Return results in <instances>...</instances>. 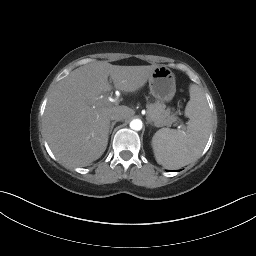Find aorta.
<instances>
[{"mask_svg": "<svg viewBox=\"0 0 256 256\" xmlns=\"http://www.w3.org/2000/svg\"><path fill=\"white\" fill-rule=\"evenodd\" d=\"M130 128L135 131L142 129V121L140 119H134L130 122Z\"/></svg>", "mask_w": 256, "mask_h": 256, "instance_id": "aorta-1", "label": "aorta"}]
</instances>
